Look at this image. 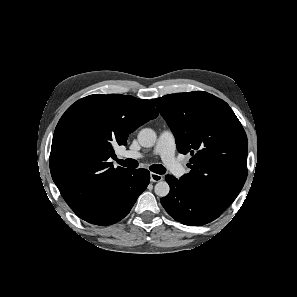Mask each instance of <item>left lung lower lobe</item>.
<instances>
[{"label": "left lung lower lobe", "instance_id": "0a47b994", "mask_svg": "<svg viewBox=\"0 0 297 297\" xmlns=\"http://www.w3.org/2000/svg\"><path fill=\"white\" fill-rule=\"evenodd\" d=\"M170 192L161 199V204L176 221L185 225H204L218 218L222 213L192 194L180 180L165 176Z\"/></svg>", "mask_w": 297, "mask_h": 297}]
</instances>
